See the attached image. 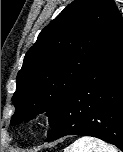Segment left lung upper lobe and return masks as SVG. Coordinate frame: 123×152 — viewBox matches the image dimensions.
Here are the masks:
<instances>
[{
    "mask_svg": "<svg viewBox=\"0 0 123 152\" xmlns=\"http://www.w3.org/2000/svg\"><path fill=\"white\" fill-rule=\"evenodd\" d=\"M120 13L112 0H75L26 53L12 98L11 124L46 112L54 126L61 103L104 44Z\"/></svg>",
    "mask_w": 123,
    "mask_h": 152,
    "instance_id": "left-lung-upper-lobe-1",
    "label": "left lung upper lobe"
}]
</instances>
